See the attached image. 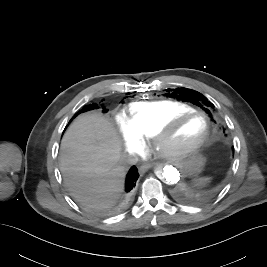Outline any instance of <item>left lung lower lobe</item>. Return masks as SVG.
I'll return each instance as SVG.
<instances>
[{
    "mask_svg": "<svg viewBox=\"0 0 267 267\" xmlns=\"http://www.w3.org/2000/svg\"><path fill=\"white\" fill-rule=\"evenodd\" d=\"M217 159L213 163V170L218 175H225L230 170L229 161L233 157V150L228 145H221L216 150Z\"/></svg>",
    "mask_w": 267,
    "mask_h": 267,
    "instance_id": "0a47b994",
    "label": "left lung lower lobe"
}]
</instances>
